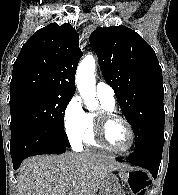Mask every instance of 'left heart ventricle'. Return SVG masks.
<instances>
[{"instance_id":"obj_1","label":"left heart ventricle","mask_w":178,"mask_h":195,"mask_svg":"<svg viewBox=\"0 0 178 195\" xmlns=\"http://www.w3.org/2000/svg\"><path fill=\"white\" fill-rule=\"evenodd\" d=\"M106 139L112 147L118 149L127 148L131 140L126 126L120 121L109 123L106 128Z\"/></svg>"}]
</instances>
